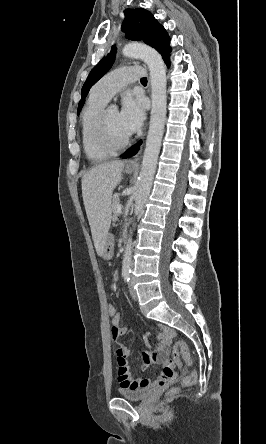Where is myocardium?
<instances>
[{
  "mask_svg": "<svg viewBox=\"0 0 266 444\" xmlns=\"http://www.w3.org/2000/svg\"><path fill=\"white\" fill-rule=\"evenodd\" d=\"M109 109H103L100 114L98 115V117L96 118L94 125H93V130H92V136H93V140L95 142V144L97 146H99L100 148L110 151V152H115V151H119L122 150L123 148H125L131 140L130 135L125 138L122 142L120 143H113L106 135V116H107V112Z\"/></svg>",
  "mask_w": 266,
  "mask_h": 444,
  "instance_id": "f54148a6",
  "label": "myocardium"
}]
</instances>
